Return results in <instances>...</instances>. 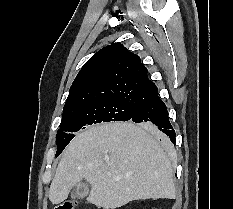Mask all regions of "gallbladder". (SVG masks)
<instances>
[{
    "label": "gallbladder",
    "instance_id": "1",
    "mask_svg": "<svg viewBox=\"0 0 233 209\" xmlns=\"http://www.w3.org/2000/svg\"><path fill=\"white\" fill-rule=\"evenodd\" d=\"M88 185L85 182H81L78 185H76L72 192H71V198H84L88 194Z\"/></svg>",
    "mask_w": 233,
    "mask_h": 209
}]
</instances>
